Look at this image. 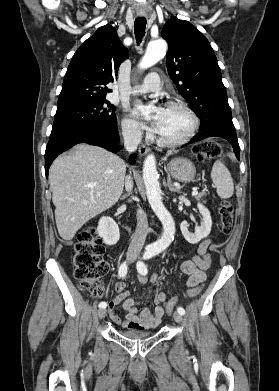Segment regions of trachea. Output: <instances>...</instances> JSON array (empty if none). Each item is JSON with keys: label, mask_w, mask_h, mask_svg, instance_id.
Here are the masks:
<instances>
[{"label": "trachea", "mask_w": 279, "mask_h": 391, "mask_svg": "<svg viewBox=\"0 0 279 391\" xmlns=\"http://www.w3.org/2000/svg\"><path fill=\"white\" fill-rule=\"evenodd\" d=\"M145 29H146V19L136 18L134 22V33L138 44L141 43L143 37L145 36Z\"/></svg>", "instance_id": "3493384b"}]
</instances>
